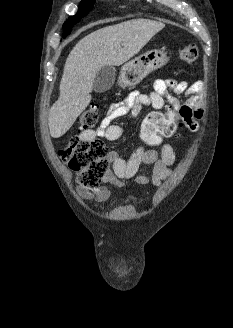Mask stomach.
I'll list each match as a JSON object with an SVG mask.
<instances>
[{"instance_id":"0dacf381","label":"stomach","mask_w":233,"mask_h":328,"mask_svg":"<svg viewBox=\"0 0 233 328\" xmlns=\"http://www.w3.org/2000/svg\"><path fill=\"white\" fill-rule=\"evenodd\" d=\"M168 61L166 53L161 50H150L125 63L120 71V85L133 86L142 81L149 73L162 67Z\"/></svg>"}]
</instances>
